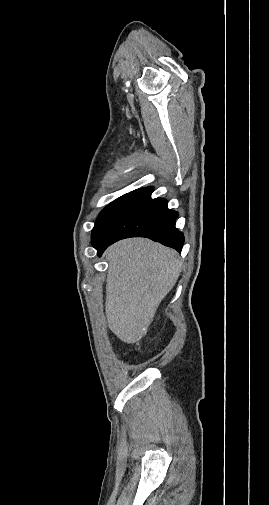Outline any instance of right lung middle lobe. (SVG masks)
I'll return each mask as SVG.
<instances>
[{"label":"right lung middle lobe","instance_id":"dd1d6c3e","mask_svg":"<svg viewBox=\"0 0 269 505\" xmlns=\"http://www.w3.org/2000/svg\"><path fill=\"white\" fill-rule=\"evenodd\" d=\"M139 190L127 193L105 207L92 230V245L96 244L117 214L130 202Z\"/></svg>","mask_w":269,"mask_h":505}]
</instances>
